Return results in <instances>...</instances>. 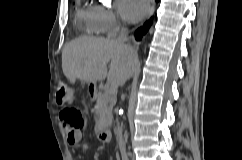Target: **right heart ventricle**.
<instances>
[{
  "mask_svg": "<svg viewBox=\"0 0 242 160\" xmlns=\"http://www.w3.org/2000/svg\"><path fill=\"white\" fill-rule=\"evenodd\" d=\"M75 21L88 35L100 33L94 6L79 4L75 13Z\"/></svg>",
  "mask_w": 242,
  "mask_h": 160,
  "instance_id": "e07e8e85",
  "label": "right heart ventricle"
}]
</instances>
